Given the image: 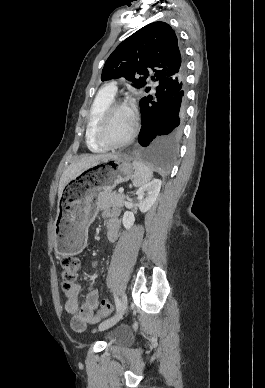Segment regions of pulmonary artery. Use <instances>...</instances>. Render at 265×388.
Here are the masks:
<instances>
[{
    "instance_id": "1",
    "label": "pulmonary artery",
    "mask_w": 265,
    "mask_h": 388,
    "mask_svg": "<svg viewBox=\"0 0 265 388\" xmlns=\"http://www.w3.org/2000/svg\"><path fill=\"white\" fill-rule=\"evenodd\" d=\"M102 90H117L118 84L117 83H102Z\"/></svg>"
}]
</instances>
